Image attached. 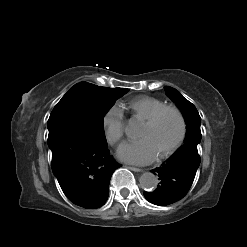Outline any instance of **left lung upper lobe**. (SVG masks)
I'll use <instances>...</instances> for the list:
<instances>
[{"label": "left lung upper lobe", "mask_w": 247, "mask_h": 247, "mask_svg": "<svg viewBox=\"0 0 247 247\" xmlns=\"http://www.w3.org/2000/svg\"><path fill=\"white\" fill-rule=\"evenodd\" d=\"M164 89L169 98L176 103L184 115L187 124L185 143L197 145L201 141V118L196 107L184 98L178 90L169 86L164 87Z\"/></svg>", "instance_id": "obj_1"}]
</instances>
